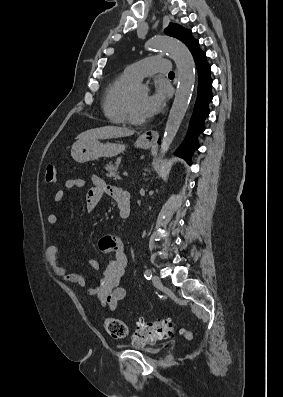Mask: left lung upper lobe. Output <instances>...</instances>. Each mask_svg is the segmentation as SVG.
Wrapping results in <instances>:
<instances>
[{
    "mask_svg": "<svg viewBox=\"0 0 283 397\" xmlns=\"http://www.w3.org/2000/svg\"><path fill=\"white\" fill-rule=\"evenodd\" d=\"M165 33L169 36L175 37L185 43L189 49L198 43L192 35L191 31L183 28L178 24L171 23L166 29Z\"/></svg>",
    "mask_w": 283,
    "mask_h": 397,
    "instance_id": "obj_1",
    "label": "left lung upper lobe"
}]
</instances>
